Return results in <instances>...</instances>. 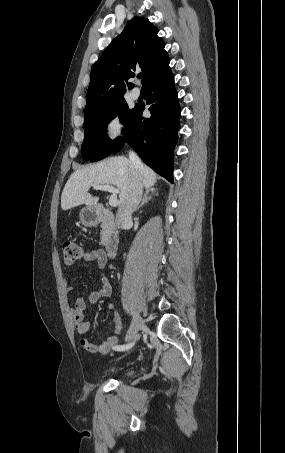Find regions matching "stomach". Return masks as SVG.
I'll list each match as a JSON object with an SVG mask.
<instances>
[{"mask_svg":"<svg viewBox=\"0 0 285 453\" xmlns=\"http://www.w3.org/2000/svg\"><path fill=\"white\" fill-rule=\"evenodd\" d=\"M80 220L84 226L91 227L98 222V213L93 207H84L79 214Z\"/></svg>","mask_w":285,"mask_h":453,"instance_id":"obj_1","label":"stomach"}]
</instances>
